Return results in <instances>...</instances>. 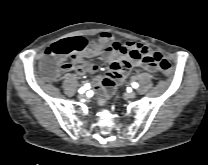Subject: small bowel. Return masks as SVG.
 <instances>
[{"label": "small bowel", "mask_w": 208, "mask_h": 165, "mask_svg": "<svg viewBox=\"0 0 208 165\" xmlns=\"http://www.w3.org/2000/svg\"><path fill=\"white\" fill-rule=\"evenodd\" d=\"M147 51L151 52L145 45L120 42L110 32H102L97 41H91L85 50L73 56L70 63L59 62L58 69L61 72L69 70L79 75L95 73L98 66L85 60L103 54L109 63V70L103 76L97 77L92 86L100 92L99 102L104 104L114 87L121 84L134 67H141L148 72L156 71L155 64L143 59V53Z\"/></svg>", "instance_id": "small-bowel-1"}]
</instances>
